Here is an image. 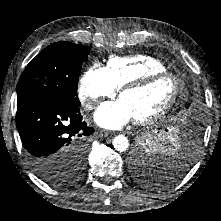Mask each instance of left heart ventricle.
I'll return each instance as SVG.
<instances>
[{
	"label": "left heart ventricle",
	"mask_w": 221,
	"mask_h": 221,
	"mask_svg": "<svg viewBox=\"0 0 221 221\" xmlns=\"http://www.w3.org/2000/svg\"><path fill=\"white\" fill-rule=\"evenodd\" d=\"M174 89V81L165 77L142 89L127 91L121 95L120 99L130 109L133 119L145 118L163 109L171 99Z\"/></svg>",
	"instance_id": "left-heart-ventricle-1"
}]
</instances>
